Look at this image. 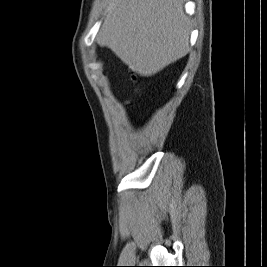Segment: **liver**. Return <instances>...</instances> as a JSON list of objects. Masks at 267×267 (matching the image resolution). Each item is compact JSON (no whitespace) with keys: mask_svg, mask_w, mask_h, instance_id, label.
Returning <instances> with one entry per match:
<instances>
[{"mask_svg":"<svg viewBox=\"0 0 267 267\" xmlns=\"http://www.w3.org/2000/svg\"><path fill=\"white\" fill-rule=\"evenodd\" d=\"M184 0H107L96 41L132 71L152 76L190 51Z\"/></svg>","mask_w":267,"mask_h":267,"instance_id":"1","label":"liver"}]
</instances>
